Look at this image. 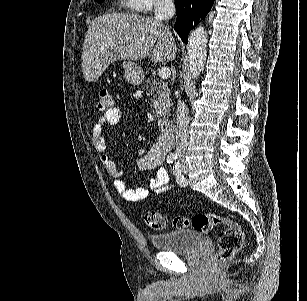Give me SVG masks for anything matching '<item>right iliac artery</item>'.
<instances>
[{
	"mask_svg": "<svg viewBox=\"0 0 307 301\" xmlns=\"http://www.w3.org/2000/svg\"><path fill=\"white\" fill-rule=\"evenodd\" d=\"M176 159H177V156H176V155L170 154V155H168V157H167V162H168V163H173Z\"/></svg>",
	"mask_w": 307,
	"mask_h": 301,
	"instance_id": "1",
	"label": "right iliac artery"
}]
</instances>
